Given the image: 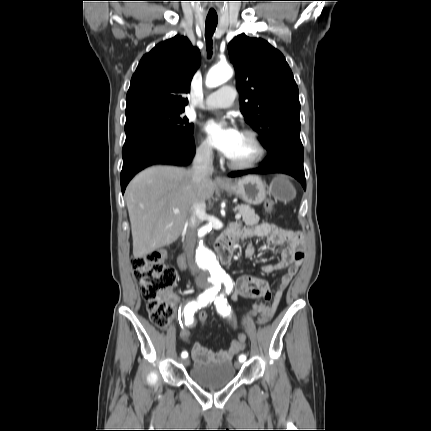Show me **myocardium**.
I'll return each instance as SVG.
<instances>
[{
	"mask_svg": "<svg viewBox=\"0 0 431 431\" xmlns=\"http://www.w3.org/2000/svg\"><path fill=\"white\" fill-rule=\"evenodd\" d=\"M242 134L251 139L252 143L256 148V154L253 158L242 162H236L228 158L227 159L228 165L234 169H248V168L255 167L259 165L261 162H263L267 154V149L261 137L256 131L252 129H244L242 131Z\"/></svg>",
	"mask_w": 431,
	"mask_h": 431,
	"instance_id": "myocardium-1",
	"label": "myocardium"
}]
</instances>
